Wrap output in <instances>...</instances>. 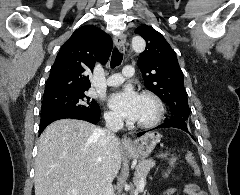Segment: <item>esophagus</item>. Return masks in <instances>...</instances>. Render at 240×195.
I'll return each instance as SVG.
<instances>
[{
  "instance_id": "obj_1",
  "label": "esophagus",
  "mask_w": 240,
  "mask_h": 195,
  "mask_svg": "<svg viewBox=\"0 0 240 195\" xmlns=\"http://www.w3.org/2000/svg\"><path fill=\"white\" fill-rule=\"evenodd\" d=\"M126 43V35L124 33H120V35H117L114 38V44L118 48H122ZM122 146L124 148H132L133 146V140L130 137H127L126 135L122 138Z\"/></svg>"
}]
</instances>
